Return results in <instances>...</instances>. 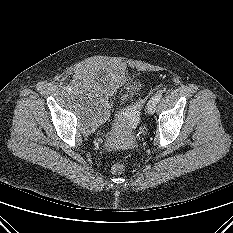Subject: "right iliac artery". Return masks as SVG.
<instances>
[{"instance_id":"82829eb1","label":"right iliac artery","mask_w":233,"mask_h":233,"mask_svg":"<svg viewBox=\"0 0 233 233\" xmlns=\"http://www.w3.org/2000/svg\"><path fill=\"white\" fill-rule=\"evenodd\" d=\"M66 91L68 92V93H70L71 91H72V89H71V87H66Z\"/></svg>"}]
</instances>
